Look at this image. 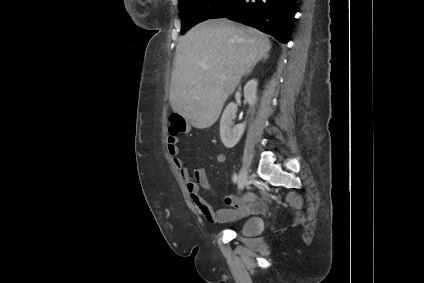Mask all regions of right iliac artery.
I'll use <instances>...</instances> for the list:
<instances>
[{"mask_svg": "<svg viewBox=\"0 0 424 283\" xmlns=\"http://www.w3.org/2000/svg\"><path fill=\"white\" fill-rule=\"evenodd\" d=\"M233 179H234V182H237V180H238L237 174L234 175Z\"/></svg>", "mask_w": 424, "mask_h": 283, "instance_id": "82829eb1", "label": "right iliac artery"}]
</instances>
